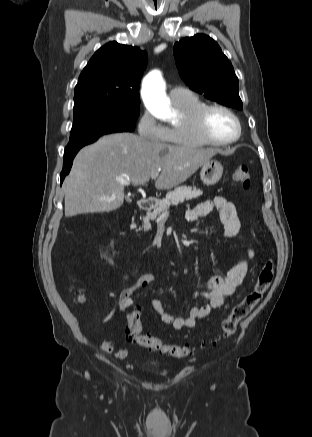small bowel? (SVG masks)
<instances>
[{"label":"small bowel","mask_w":312,"mask_h":437,"mask_svg":"<svg viewBox=\"0 0 312 437\" xmlns=\"http://www.w3.org/2000/svg\"><path fill=\"white\" fill-rule=\"evenodd\" d=\"M213 210L219 212L220 220L224 227L225 236L228 238L236 237L241 228V222L233 202L222 196H216L213 199L205 200L197 204L186 212V219L189 222L207 216ZM253 255L252 251H247V257ZM248 270L246 259H239L231 269L223 276H213L205 284L206 291L199 295L206 300V304L193 306L189 314L185 317H175L165 310L161 300L154 299L152 308L159 316L162 323L171 325L174 329L193 328L196 322L207 317L214 309L223 305L225 299L233 294L243 282ZM156 281L153 274H145L132 286L124 289L119 296V310L125 312L135 304L132 295L138 291L144 290ZM99 348L110 355L118 358H124L128 355L127 349H117L114 342L104 341L100 343Z\"/></svg>","instance_id":"small-bowel-1"}]
</instances>
